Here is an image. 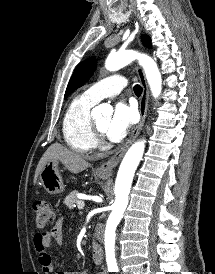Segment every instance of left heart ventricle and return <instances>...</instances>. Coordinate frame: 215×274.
<instances>
[{
  "label": "left heart ventricle",
  "instance_id": "1",
  "mask_svg": "<svg viewBox=\"0 0 215 274\" xmlns=\"http://www.w3.org/2000/svg\"><path fill=\"white\" fill-rule=\"evenodd\" d=\"M95 122H96L97 126L100 128V130H102L104 132L108 125L109 117L97 118V119H95Z\"/></svg>",
  "mask_w": 215,
  "mask_h": 274
}]
</instances>
